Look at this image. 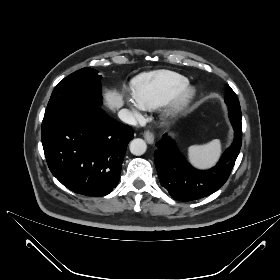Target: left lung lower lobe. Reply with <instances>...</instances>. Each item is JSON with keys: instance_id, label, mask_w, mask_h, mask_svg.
<instances>
[{"instance_id": "left-lung-lower-lobe-1", "label": "left lung lower lobe", "mask_w": 280, "mask_h": 280, "mask_svg": "<svg viewBox=\"0 0 280 280\" xmlns=\"http://www.w3.org/2000/svg\"><path fill=\"white\" fill-rule=\"evenodd\" d=\"M229 118L235 138L212 169L201 171L193 168L183 159L173 140L166 135L157 142V150L154 152L155 167L161 185L172 198L184 202L201 199L217 191L227 181L242 144L241 117L232 113Z\"/></svg>"}]
</instances>
